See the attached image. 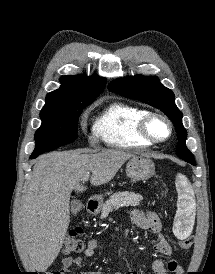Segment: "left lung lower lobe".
<instances>
[{"label": "left lung lower lobe", "mask_w": 215, "mask_h": 274, "mask_svg": "<svg viewBox=\"0 0 215 274\" xmlns=\"http://www.w3.org/2000/svg\"><path fill=\"white\" fill-rule=\"evenodd\" d=\"M188 163H189V162H188ZM190 164H192V165H194V166L196 165V163H195V162H191Z\"/></svg>", "instance_id": "1"}]
</instances>
